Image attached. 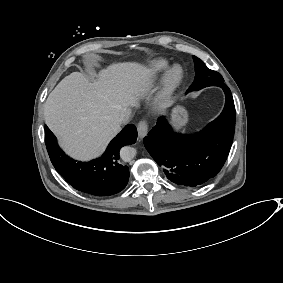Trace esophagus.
<instances>
[{"instance_id": "esophagus-1", "label": "esophagus", "mask_w": 283, "mask_h": 283, "mask_svg": "<svg viewBox=\"0 0 283 283\" xmlns=\"http://www.w3.org/2000/svg\"><path fill=\"white\" fill-rule=\"evenodd\" d=\"M138 136L139 138H143L148 131V122L146 120H142L137 125Z\"/></svg>"}]
</instances>
